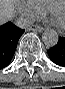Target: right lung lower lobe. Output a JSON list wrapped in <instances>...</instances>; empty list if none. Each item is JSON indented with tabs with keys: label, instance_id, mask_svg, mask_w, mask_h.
Wrapping results in <instances>:
<instances>
[{
	"label": "right lung lower lobe",
	"instance_id": "98d812e1",
	"mask_svg": "<svg viewBox=\"0 0 65 89\" xmlns=\"http://www.w3.org/2000/svg\"><path fill=\"white\" fill-rule=\"evenodd\" d=\"M24 31L11 22L0 23V69L9 65Z\"/></svg>",
	"mask_w": 65,
	"mask_h": 89
}]
</instances>
